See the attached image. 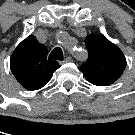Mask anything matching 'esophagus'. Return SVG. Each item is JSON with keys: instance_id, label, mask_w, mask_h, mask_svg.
Wrapping results in <instances>:
<instances>
[{"instance_id": "esophagus-1", "label": "esophagus", "mask_w": 135, "mask_h": 135, "mask_svg": "<svg viewBox=\"0 0 135 135\" xmlns=\"http://www.w3.org/2000/svg\"><path fill=\"white\" fill-rule=\"evenodd\" d=\"M71 61H72V58H71V57H66V58L64 59V61H60L59 63H60V64H63V63L71 62Z\"/></svg>"}]
</instances>
